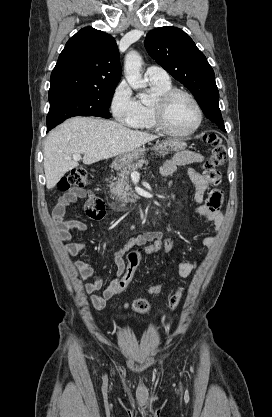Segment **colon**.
<instances>
[{
  "mask_svg": "<svg viewBox=\"0 0 272 417\" xmlns=\"http://www.w3.org/2000/svg\"><path fill=\"white\" fill-rule=\"evenodd\" d=\"M205 140L211 145V157L206 160L205 167L208 170L223 164L227 158L226 147L222 139L216 134H209ZM88 184V171L84 167H77L73 169L66 177L60 180L59 188L61 190H68L71 187L83 188ZM173 249V240L169 237H155L153 239L142 242L137 245V248L130 250L127 254V264L121 279L115 287V295L122 293L132 281L134 274L143 259L157 254L169 253ZM164 281H158L153 284L148 292L152 296L158 295L163 288ZM183 289L171 296L169 305L171 310H175L182 298ZM135 312L145 314L149 311L150 305L145 299H135L128 304Z\"/></svg>",
  "mask_w": 272,
  "mask_h": 417,
  "instance_id": "colon-1",
  "label": "colon"
}]
</instances>
